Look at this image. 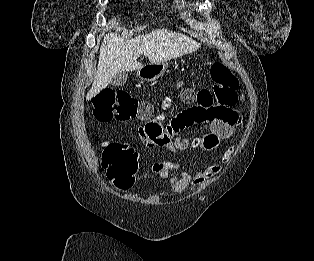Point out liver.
<instances>
[{
    "instance_id": "6515ba94",
    "label": "liver",
    "mask_w": 314,
    "mask_h": 261,
    "mask_svg": "<svg viewBox=\"0 0 314 261\" xmlns=\"http://www.w3.org/2000/svg\"><path fill=\"white\" fill-rule=\"evenodd\" d=\"M199 47L200 44L192 38L165 29L153 30L131 40L108 33L100 46L97 71L86 99L90 100L105 89L116 74L142 68L137 61L142 54L150 63H161L195 52Z\"/></svg>"
}]
</instances>
